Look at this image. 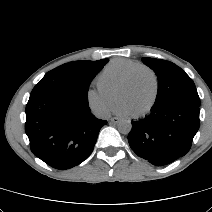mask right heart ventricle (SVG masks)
<instances>
[{
    "label": "right heart ventricle",
    "mask_w": 212,
    "mask_h": 212,
    "mask_svg": "<svg viewBox=\"0 0 212 212\" xmlns=\"http://www.w3.org/2000/svg\"><path fill=\"white\" fill-rule=\"evenodd\" d=\"M141 64L129 59H115L100 73L98 85L101 89L116 94L129 74Z\"/></svg>",
    "instance_id": "right-heart-ventricle-1"
}]
</instances>
